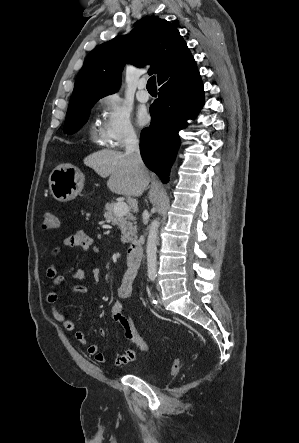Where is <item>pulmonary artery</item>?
<instances>
[{"label": "pulmonary artery", "instance_id": "obj_1", "mask_svg": "<svg viewBox=\"0 0 299 443\" xmlns=\"http://www.w3.org/2000/svg\"><path fill=\"white\" fill-rule=\"evenodd\" d=\"M137 99L140 102H147L149 100V94L146 91V80L142 79L138 85Z\"/></svg>", "mask_w": 299, "mask_h": 443}]
</instances>
